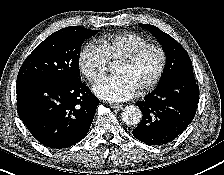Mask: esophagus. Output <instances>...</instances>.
<instances>
[{
  "label": "esophagus",
  "mask_w": 224,
  "mask_h": 175,
  "mask_svg": "<svg viewBox=\"0 0 224 175\" xmlns=\"http://www.w3.org/2000/svg\"><path fill=\"white\" fill-rule=\"evenodd\" d=\"M109 106L113 109H122L123 105L122 104H116V103H109Z\"/></svg>",
  "instance_id": "esophagus-1"
}]
</instances>
